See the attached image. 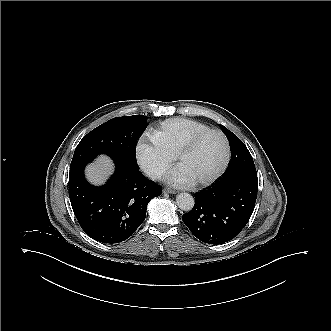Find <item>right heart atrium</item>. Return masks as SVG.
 <instances>
[{"mask_svg": "<svg viewBox=\"0 0 331 331\" xmlns=\"http://www.w3.org/2000/svg\"><path fill=\"white\" fill-rule=\"evenodd\" d=\"M135 157L140 167L154 179L162 178L170 170L173 161V155L160 151L154 142L146 138L139 141Z\"/></svg>", "mask_w": 331, "mask_h": 331, "instance_id": "right-heart-atrium-1", "label": "right heart atrium"}]
</instances>
